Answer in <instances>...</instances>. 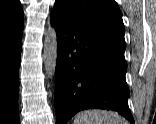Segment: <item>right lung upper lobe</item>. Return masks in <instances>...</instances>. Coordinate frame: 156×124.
<instances>
[{"instance_id":"right-lung-upper-lobe-1","label":"right lung upper lobe","mask_w":156,"mask_h":124,"mask_svg":"<svg viewBox=\"0 0 156 124\" xmlns=\"http://www.w3.org/2000/svg\"><path fill=\"white\" fill-rule=\"evenodd\" d=\"M24 13L18 0H0V30L23 27Z\"/></svg>"}]
</instances>
